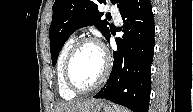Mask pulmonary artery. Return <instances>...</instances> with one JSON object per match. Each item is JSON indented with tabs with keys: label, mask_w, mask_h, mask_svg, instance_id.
<instances>
[{
	"label": "pulmonary artery",
	"mask_w": 193,
	"mask_h": 112,
	"mask_svg": "<svg viewBox=\"0 0 193 112\" xmlns=\"http://www.w3.org/2000/svg\"><path fill=\"white\" fill-rule=\"evenodd\" d=\"M110 12H111L114 20H115L116 22H119V21H120V14H119L117 8L111 7V8H110Z\"/></svg>",
	"instance_id": "pulmonary-artery-1"
}]
</instances>
